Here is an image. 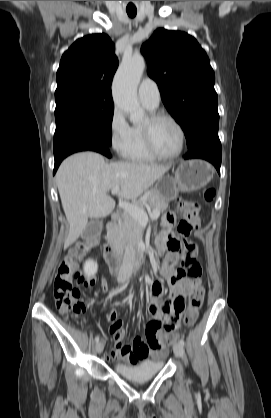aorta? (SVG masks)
<instances>
[{
	"label": "aorta",
	"instance_id": "aorta-1",
	"mask_svg": "<svg viewBox=\"0 0 271 418\" xmlns=\"http://www.w3.org/2000/svg\"><path fill=\"white\" fill-rule=\"evenodd\" d=\"M145 69V59L134 55L122 61L113 81V99L117 108L127 112L133 123L144 120L138 97L137 87Z\"/></svg>",
	"mask_w": 271,
	"mask_h": 418
}]
</instances>
